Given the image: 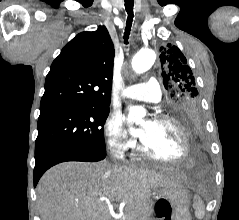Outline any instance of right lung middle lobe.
<instances>
[{
	"instance_id": "dd1d6c3e",
	"label": "right lung middle lobe",
	"mask_w": 239,
	"mask_h": 220,
	"mask_svg": "<svg viewBox=\"0 0 239 220\" xmlns=\"http://www.w3.org/2000/svg\"><path fill=\"white\" fill-rule=\"evenodd\" d=\"M109 107L56 109L40 113L35 154L54 148L106 151L103 126Z\"/></svg>"
}]
</instances>
